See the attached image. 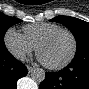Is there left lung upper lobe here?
<instances>
[{
    "instance_id": "left-lung-upper-lobe-1",
    "label": "left lung upper lobe",
    "mask_w": 89,
    "mask_h": 89,
    "mask_svg": "<svg viewBox=\"0 0 89 89\" xmlns=\"http://www.w3.org/2000/svg\"><path fill=\"white\" fill-rule=\"evenodd\" d=\"M50 21L66 26L74 35L77 43L76 54L89 50V23L78 18L57 16Z\"/></svg>"
}]
</instances>
